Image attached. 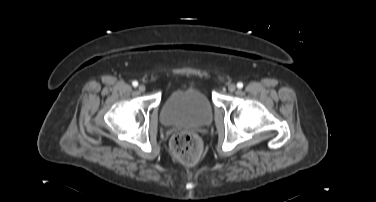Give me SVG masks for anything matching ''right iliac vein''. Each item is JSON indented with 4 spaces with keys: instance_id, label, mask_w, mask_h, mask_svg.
<instances>
[{
    "instance_id": "1",
    "label": "right iliac vein",
    "mask_w": 376,
    "mask_h": 202,
    "mask_svg": "<svg viewBox=\"0 0 376 202\" xmlns=\"http://www.w3.org/2000/svg\"><path fill=\"white\" fill-rule=\"evenodd\" d=\"M138 90H139L140 92H144V91L146 90L145 85H143V84L139 85V86H138Z\"/></svg>"
}]
</instances>
